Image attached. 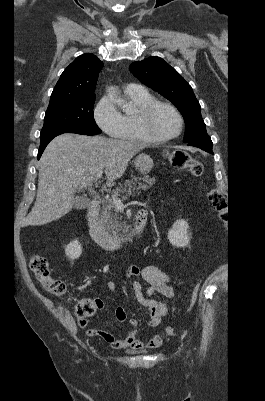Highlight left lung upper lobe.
Returning a JSON list of instances; mask_svg holds the SVG:
<instances>
[{"instance_id":"5c2ea615","label":"left lung upper lobe","mask_w":265,"mask_h":401,"mask_svg":"<svg viewBox=\"0 0 265 401\" xmlns=\"http://www.w3.org/2000/svg\"><path fill=\"white\" fill-rule=\"evenodd\" d=\"M129 69L142 83L178 108L186 124L185 143L207 136L201 107L192 87L174 68L159 57H149L132 63Z\"/></svg>"}]
</instances>
